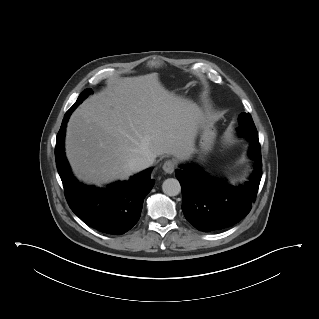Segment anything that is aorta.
Segmentation results:
<instances>
[{
  "label": "aorta",
  "mask_w": 319,
  "mask_h": 319,
  "mask_svg": "<svg viewBox=\"0 0 319 319\" xmlns=\"http://www.w3.org/2000/svg\"><path fill=\"white\" fill-rule=\"evenodd\" d=\"M162 190L168 196H176L180 193L181 186L177 179L168 178L163 182Z\"/></svg>",
  "instance_id": "obj_1"
}]
</instances>
